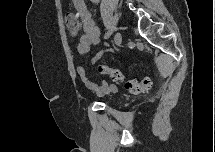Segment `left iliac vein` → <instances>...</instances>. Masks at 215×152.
<instances>
[{
  "mask_svg": "<svg viewBox=\"0 0 215 152\" xmlns=\"http://www.w3.org/2000/svg\"><path fill=\"white\" fill-rule=\"evenodd\" d=\"M114 43L116 46H120L122 43V35L120 32H117L114 36Z\"/></svg>",
  "mask_w": 215,
  "mask_h": 152,
  "instance_id": "4c4485c4",
  "label": "left iliac vein"
}]
</instances>
